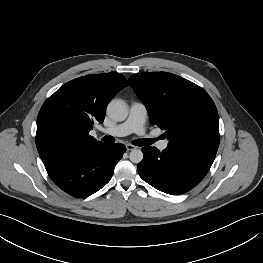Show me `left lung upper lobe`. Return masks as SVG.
Wrapping results in <instances>:
<instances>
[{
	"label": "left lung upper lobe",
	"instance_id": "5c2ea615",
	"mask_svg": "<svg viewBox=\"0 0 263 263\" xmlns=\"http://www.w3.org/2000/svg\"><path fill=\"white\" fill-rule=\"evenodd\" d=\"M129 82L145 104L151 123L166 130L168 145L217 153L218 112L203 88L168 72L134 74Z\"/></svg>",
	"mask_w": 263,
	"mask_h": 263
}]
</instances>
